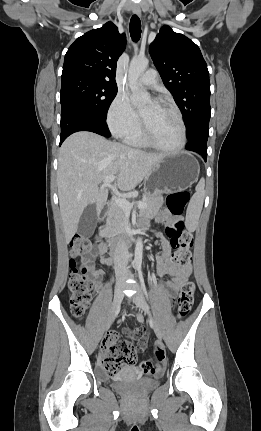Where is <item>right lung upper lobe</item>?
Wrapping results in <instances>:
<instances>
[{
  "instance_id": "right-lung-upper-lobe-1",
  "label": "right lung upper lobe",
  "mask_w": 261,
  "mask_h": 431,
  "mask_svg": "<svg viewBox=\"0 0 261 431\" xmlns=\"http://www.w3.org/2000/svg\"><path fill=\"white\" fill-rule=\"evenodd\" d=\"M126 46L125 34H120L112 22L77 38L69 47L62 77L86 75L116 85V62Z\"/></svg>"
}]
</instances>
